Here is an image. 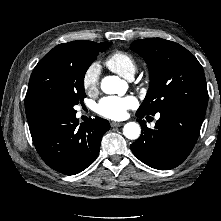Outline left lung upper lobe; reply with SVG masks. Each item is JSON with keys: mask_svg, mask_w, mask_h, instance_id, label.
<instances>
[{"mask_svg": "<svg viewBox=\"0 0 221 221\" xmlns=\"http://www.w3.org/2000/svg\"><path fill=\"white\" fill-rule=\"evenodd\" d=\"M130 49L143 57L150 74L149 90L138 112L154 115L177 104L207 107L203 68L187 49L161 38L136 40Z\"/></svg>", "mask_w": 221, "mask_h": 221, "instance_id": "obj_1", "label": "left lung upper lobe"}]
</instances>
